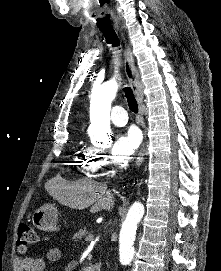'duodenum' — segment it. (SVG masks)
<instances>
[{
	"label": "duodenum",
	"mask_w": 221,
	"mask_h": 271,
	"mask_svg": "<svg viewBox=\"0 0 221 271\" xmlns=\"http://www.w3.org/2000/svg\"><path fill=\"white\" fill-rule=\"evenodd\" d=\"M100 270H101V264L94 263L86 267H83L80 271H100Z\"/></svg>",
	"instance_id": "duodenum-1"
}]
</instances>
